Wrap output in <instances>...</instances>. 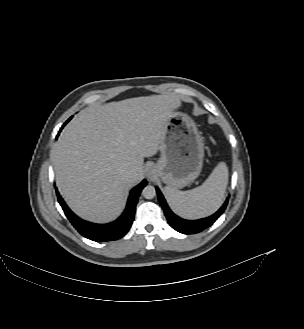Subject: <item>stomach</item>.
<instances>
[{
	"mask_svg": "<svg viewBox=\"0 0 304 329\" xmlns=\"http://www.w3.org/2000/svg\"><path fill=\"white\" fill-rule=\"evenodd\" d=\"M160 152L161 157L149 174L161 178L168 187L181 189L200 175L204 143L191 117L171 113L165 123Z\"/></svg>",
	"mask_w": 304,
	"mask_h": 329,
	"instance_id": "1",
	"label": "stomach"
}]
</instances>
